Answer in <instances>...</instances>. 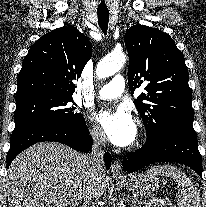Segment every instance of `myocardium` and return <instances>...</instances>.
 I'll list each match as a JSON object with an SVG mask.
<instances>
[{"label":"myocardium","mask_w":206,"mask_h":207,"mask_svg":"<svg viewBox=\"0 0 206 207\" xmlns=\"http://www.w3.org/2000/svg\"><path fill=\"white\" fill-rule=\"evenodd\" d=\"M136 140L134 146H139L144 139L145 133L142 128H138V132L136 133Z\"/></svg>","instance_id":"f54148a6"}]
</instances>
